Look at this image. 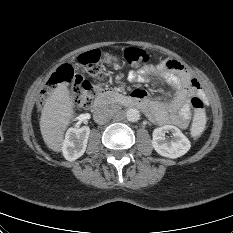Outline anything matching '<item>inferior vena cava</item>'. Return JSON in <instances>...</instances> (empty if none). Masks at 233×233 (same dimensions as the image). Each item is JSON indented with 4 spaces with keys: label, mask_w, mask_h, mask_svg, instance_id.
Returning <instances> with one entry per match:
<instances>
[{
    "label": "inferior vena cava",
    "mask_w": 233,
    "mask_h": 233,
    "mask_svg": "<svg viewBox=\"0 0 233 233\" xmlns=\"http://www.w3.org/2000/svg\"><path fill=\"white\" fill-rule=\"evenodd\" d=\"M114 113L108 105H101L94 110V121L97 124L103 125L110 121Z\"/></svg>",
    "instance_id": "inferior-vena-cava-1"
}]
</instances>
